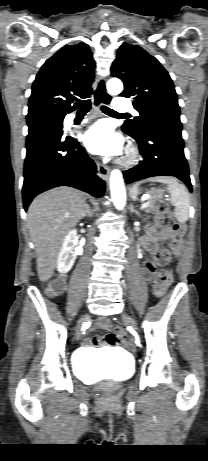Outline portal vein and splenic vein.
<instances>
[{"label": "portal vein and splenic vein", "instance_id": "1", "mask_svg": "<svg viewBox=\"0 0 208 461\" xmlns=\"http://www.w3.org/2000/svg\"><path fill=\"white\" fill-rule=\"evenodd\" d=\"M148 198H149L148 195H145L144 197H142V201H145V202L143 203V205H142L143 207H146L147 205L150 204V201L147 200Z\"/></svg>", "mask_w": 208, "mask_h": 461}]
</instances>
